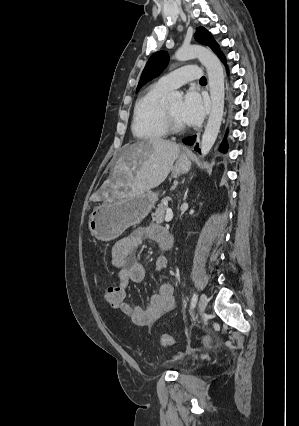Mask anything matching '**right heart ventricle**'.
Wrapping results in <instances>:
<instances>
[{
  "label": "right heart ventricle",
  "instance_id": "e07e8e85",
  "mask_svg": "<svg viewBox=\"0 0 299 426\" xmlns=\"http://www.w3.org/2000/svg\"><path fill=\"white\" fill-rule=\"evenodd\" d=\"M169 90L156 82L150 85L137 100L132 122L135 137L147 141L166 137L168 131L164 123V108Z\"/></svg>",
  "mask_w": 299,
  "mask_h": 426
}]
</instances>
